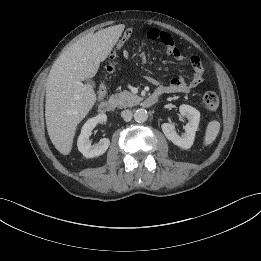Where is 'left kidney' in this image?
Listing matches in <instances>:
<instances>
[{"label":"left kidney","mask_w":261,"mask_h":261,"mask_svg":"<svg viewBox=\"0 0 261 261\" xmlns=\"http://www.w3.org/2000/svg\"><path fill=\"white\" fill-rule=\"evenodd\" d=\"M180 114L188 119V123L184 127L185 133L179 136L174 127L170 123H163L161 125L162 131L166 138L172 141L173 144L183 149H189L194 142L195 133L198 130L200 121V112L194 107L182 104L179 107Z\"/></svg>","instance_id":"obj_1"}]
</instances>
